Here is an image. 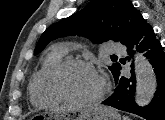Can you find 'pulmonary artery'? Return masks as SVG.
Returning <instances> with one entry per match:
<instances>
[{"instance_id":"obj_1","label":"pulmonary artery","mask_w":165,"mask_h":120,"mask_svg":"<svg viewBox=\"0 0 165 120\" xmlns=\"http://www.w3.org/2000/svg\"><path fill=\"white\" fill-rule=\"evenodd\" d=\"M105 51L108 54H124L125 48L117 43H109L105 46Z\"/></svg>"}]
</instances>
